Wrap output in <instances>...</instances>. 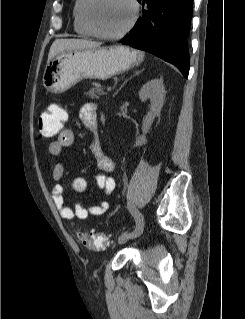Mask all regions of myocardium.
<instances>
[{
    "label": "myocardium",
    "mask_w": 245,
    "mask_h": 319,
    "mask_svg": "<svg viewBox=\"0 0 245 319\" xmlns=\"http://www.w3.org/2000/svg\"><path fill=\"white\" fill-rule=\"evenodd\" d=\"M95 2L96 0H86L83 6V18L87 27L91 30V32L96 37L107 39V40L120 39L123 36H125L128 32H130V30L134 27V25L136 24L139 18L140 9H139V4L137 0H128V2L130 3L132 7V17L130 21L128 22V24L123 29H121L120 31L116 33H105L96 26V24L93 22L91 17V8Z\"/></svg>",
    "instance_id": "f54148a6"
}]
</instances>
